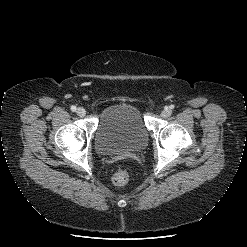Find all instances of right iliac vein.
I'll return each mask as SVG.
<instances>
[{
    "label": "right iliac vein",
    "mask_w": 247,
    "mask_h": 247,
    "mask_svg": "<svg viewBox=\"0 0 247 247\" xmlns=\"http://www.w3.org/2000/svg\"><path fill=\"white\" fill-rule=\"evenodd\" d=\"M76 113H77L80 117H83V116H85L86 111H85L84 108L79 107V108H77Z\"/></svg>",
    "instance_id": "obj_1"
}]
</instances>
